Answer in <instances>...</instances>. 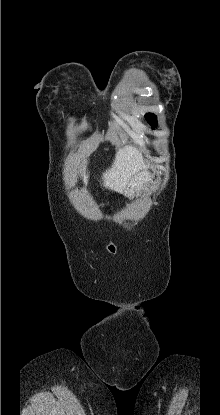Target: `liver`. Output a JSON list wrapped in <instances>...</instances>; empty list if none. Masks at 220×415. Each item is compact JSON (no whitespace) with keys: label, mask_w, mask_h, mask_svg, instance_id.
<instances>
[{"label":"liver","mask_w":220,"mask_h":415,"mask_svg":"<svg viewBox=\"0 0 220 415\" xmlns=\"http://www.w3.org/2000/svg\"><path fill=\"white\" fill-rule=\"evenodd\" d=\"M143 167L141 153L132 146H125L116 153L111 168L103 173V186L112 191L123 193L125 187ZM82 177L84 184L87 185L89 176L83 172Z\"/></svg>","instance_id":"obj_1"}]
</instances>
